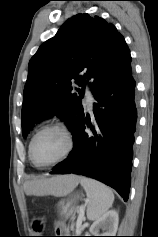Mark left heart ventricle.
Here are the masks:
<instances>
[{"instance_id": "b2bd125f", "label": "left heart ventricle", "mask_w": 158, "mask_h": 237, "mask_svg": "<svg viewBox=\"0 0 158 237\" xmlns=\"http://www.w3.org/2000/svg\"><path fill=\"white\" fill-rule=\"evenodd\" d=\"M67 147L65 135L56 129L42 132L33 145V157L39 164H46L60 157Z\"/></svg>"}]
</instances>
